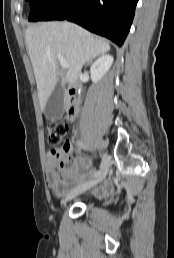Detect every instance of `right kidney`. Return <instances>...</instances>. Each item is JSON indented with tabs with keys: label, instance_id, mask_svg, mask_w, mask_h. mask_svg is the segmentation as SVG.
Returning a JSON list of instances; mask_svg holds the SVG:
<instances>
[{
	"label": "right kidney",
	"instance_id": "1",
	"mask_svg": "<svg viewBox=\"0 0 174 258\" xmlns=\"http://www.w3.org/2000/svg\"><path fill=\"white\" fill-rule=\"evenodd\" d=\"M113 57L111 55H102L91 66L90 73L94 83H97L108 72L113 64Z\"/></svg>",
	"mask_w": 174,
	"mask_h": 258
}]
</instances>
